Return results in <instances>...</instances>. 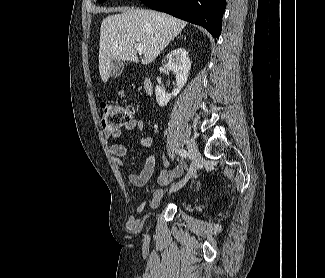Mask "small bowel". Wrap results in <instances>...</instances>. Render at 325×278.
I'll list each match as a JSON object with an SVG mask.
<instances>
[{"label": "small bowel", "instance_id": "obj_1", "mask_svg": "<svg viewBox=\"0 0 325 278\" xmlns=\"http://www.w3.org/2000/svg\"><path fill=\"white\" fill-rule=\"evenodd\" d=\"M123 129L127 132L137 130L140 133V144L143 147H150L153 143V136L151 134H145L144 121L141 118H133L128 123L123 126ZM122 130H106L104 136L107 139H118L121 136ZM110 152L114 156V162L117 166H122L124 159L128 156L127 148L119 143H114L110 146ZM156 160L153 155L147 157L144 167L140 173L130 172L128 174V179L130 183L135 187L144 186L151 178L155 170ZM169 160L164 157V167L160 170L157 182L160 185L152 191V199L149 203L151 207H155L159 200L163 196L162 187L168 185L174 178L180 177L184 173V165L179 164L172 170H169ZM133 225V222L130 223Z\"/></svg>", "mask_w": 325, "mask_h": 278}]
</instances>
